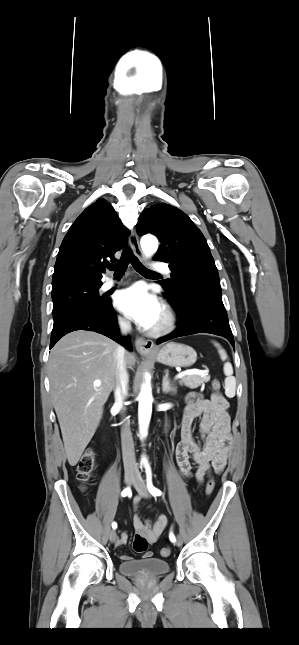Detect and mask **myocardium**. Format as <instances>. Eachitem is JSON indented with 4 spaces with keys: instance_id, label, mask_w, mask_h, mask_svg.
<instances>
[{
    "instance_id": "f54148a6",
    "label": "myocardium",
    "mask_w": 299,
    "mask_h": 645,
    "mask_svg": "<svg viewBox=\"0 0 299 645\" xmlns=\"http://www.w3.org/2000/svg\"><path fill=\"white\" fill-rule=\"evenodd\" d=\"M176 323V317L173 311L165 306L161 310L159 322L150 329L149 334L152 336H161L170 332Z\"/></svg>"
}]
</instances>
